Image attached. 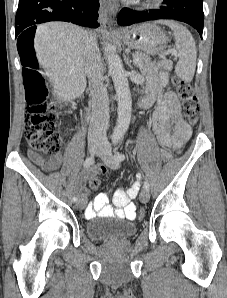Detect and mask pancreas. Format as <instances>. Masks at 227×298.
Returning a JSON list of instances; mask_svg holds the SVG:
<instances>
[{
    "label": "pancreas",
    "instance_id": "cf45deb5",
    "mask_svg": "<svg viewBox=\"0 0 227 298\" xmlns=\"http://www.w3.org/2000/svg\"><path fill=\"white\" fill-rule=\"evenodd\" d=\"M135 56H138L140 59V61L136 63V66L143 75L157 73L162 69L170 71L173 66V63L170 60L163 59L158 62L152 61L149 56L139 52L135 53Z\"/></svg>",
    "mask_w": 227,
    "mask_h": 298
}]
</instances>
